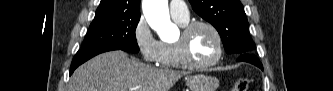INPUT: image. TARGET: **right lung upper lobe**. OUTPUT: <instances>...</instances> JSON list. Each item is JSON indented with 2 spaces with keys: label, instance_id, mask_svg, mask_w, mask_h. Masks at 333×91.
<instances>
[{
  "label": "right lung upper lobe",
  "instance_id": "obj_1",
  "mask_svg": "<svg viewBox=\"0 0 333 91\" xmlns=\"http://www.w3.org/2000/svg\"><path fill=\"white\" fill-rule=\"evenodd\" d=\"M116 15H140V0H101L95 18Z\"/></svg>",
  "mask_w": 333,
  "mask_h": 91
}]
</instances>
